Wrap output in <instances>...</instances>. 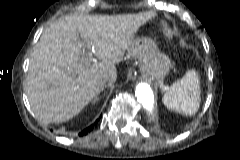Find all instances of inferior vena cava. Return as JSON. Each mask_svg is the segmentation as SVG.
Masks as SVG:
<instances>
[{
	"label": "inferior vena cava",
	"mask_w": 240,
	"mask_h": 160,
	"mask_svg": "<svg viewBox=\"0 0 240 160\" xmlns=\"http://www.w3.org/2000/svg\"><path fill=\"white\" fill-rule=\"evenodd\" d=\"M109 80V78H104L99 82L100 87H103Z\"/></svg>",
	"instance_id": "1"
}]
</instances>
